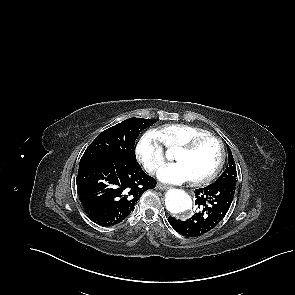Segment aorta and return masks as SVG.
<instances>
[{"label":"aorta","instance_id":"obj_1","mask_svg":"<svg viewBox=\"0 0 295 295\" xmlns=\"http://www.w3.org/2000/svg\"><path fill=\"white\" fill-rule=\"evenodd\" d=\"M165 205L172 214H185L192 209V199L183 190L169 189L165 195Z\"/></svg>","mask_w":295,"mask_h":295}]
</instances>
